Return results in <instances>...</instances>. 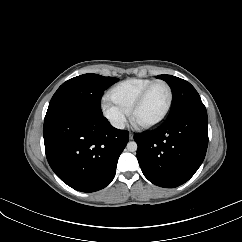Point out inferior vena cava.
Masks as SVG:
<instances>
[{"instance_id": "1", "label": "inferior vena cava", "mask_w": 242, "mask_h": 242, "mask_svg": "<svg viewBox=\"0 0 242 242\" xmlns=\"http://www.w3.org/2000/svg\"><path fill=\"white\" fill-rule=\"evenodd\" d=\"M112 125H113V127L117 128V129H124L125 128V123L121 120L113 121Z\"/></svg>"}]
</instances>
